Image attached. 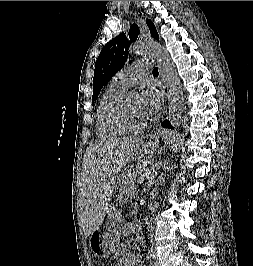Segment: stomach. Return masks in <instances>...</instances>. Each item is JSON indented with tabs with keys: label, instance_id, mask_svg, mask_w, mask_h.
I'll use <instances>...</instances> for the list:
<instances>
[{
	"label": "stomach",
	"instance_id": "stomach-1",
	"mask_svg": "<svg viewBox=\"0 0 253 266\" xmlns=\"http://www.w3.org/2000/svg\"><path fill=\"white\" fill-rule=\"evenodd\" d=\"M162 139L170 140L172 137L164 132L162 133ZM157 147V140L143 142L136 152L135 159H148ZM121 223L122 218L120 211L114 205H110L102 223L90 236V248L96 257H108L115 251L120 241Z\"/></svg>",
	"mask_w": 253,
	"mask_h": 266
}]
</instances>
